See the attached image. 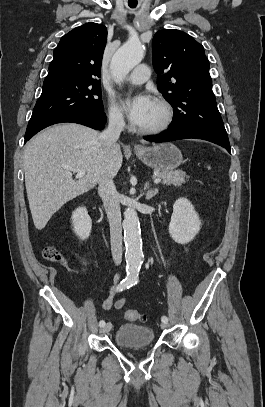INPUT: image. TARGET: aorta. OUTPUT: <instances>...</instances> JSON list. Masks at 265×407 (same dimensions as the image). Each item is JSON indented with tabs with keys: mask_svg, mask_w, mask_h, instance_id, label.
Listing matches in <instances>:
<instances>
[{
	"mask_svg": "<svg viewBox=\"0 0 265 407\" xmlns=\"http://www.w3.org/2000/svg\"><path fill=\"white\" fill-rule=\"evenodd\" d=\"M144 58V47L137 38L129 39L113 55L110 69L117 83ZM124 242L126 247V272L129 276L138 275L142 262V239L140 223L137 212L132 208H126L124 212Z\"/></svg>",
	"mask_w": 265,
	"mask_h": 407,
	"instance_id": "1",
	"label": "aorta"
}]
</instances>
